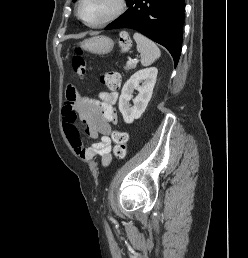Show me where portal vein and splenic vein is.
<instances>
[{
    "mask_svg": "<svg viewBox=\"0 0 248 258\" xmlns=\"http://www.w3.org/2000/svg\"><path fill=\"white\" fill-rule=\"evenodd\" d=\"M134 62L132 59H129L128 63Z\"/></svg>",
    "mask_w": 248,
    "mask_h": 258,
    "instance_id": "portal-vein-and-splenic-vein-1",
    "label": "portal vein and splenic vein"
}]
</instances>
